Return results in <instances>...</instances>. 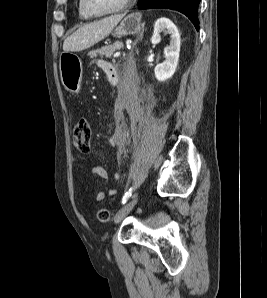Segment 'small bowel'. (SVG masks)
<instances>
[{"instance_id":"c3829d8e","label":"small bowel","mask_w":267,"mask_h":298,"mask_svg":"<svg viewBox=\"0 0 267 298\" xmlns=\"http://www.w3.org/2000/svg\"><path fill=\"white\" fill-rule=\"evenodd\" d=\"M96 64L107 74L108 71H110L114 66L109 63L106 60L99 59L96 61ZM128 111L131 116H134L137 112V104L134 102V100H131L129 106H128ZM92 174L101 178V179H107L108 178V172L107 170L102 166V165H94L92 167ZM117 193L116 189H110L108 191V194L110 196H113ZM106 198V193L103 191H99L96 195V200L98 202L103 201Z\"/></svg>"}]
</instances>
